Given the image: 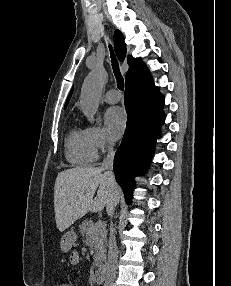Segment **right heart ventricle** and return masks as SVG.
Instances as JSON below:
<instances>
[{"instance_id":"e07e8e85","label":"right heart ventricle","mask_w":231,"mask_h":286,"mask_svg":"<svg viewBox=\"0 0 231 286\" xmlns=\"http://www.w3.org/2000/svg\"><path fill=\"white\" fill-rule=\"evenodd\" d=\"M65 157L73 165L84 166L97 159L85 129L73 127L65 139Z\"/></svg>"}]
</instances>
